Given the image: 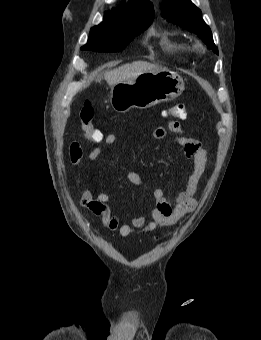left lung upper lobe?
Here are the masks:
<instances>
[{
    "instance_id": "5c2ea615",
    "label": "left lung upper lobe",
    "mask_w": 261,
    "mask_h": 340,
    "mask_svg": "<svg viewBox=\"0 0 261 340\" xmlns=\"http://www.w3.org/2000/svg\"><path fill=\"white\" fill-rule=\"evenodd\" d=\"M161 16L167 21L197 34L210 49L218 54L211 29L202 19L200 9L190 0H164Z\"/></svg>"
}]
</instances>
